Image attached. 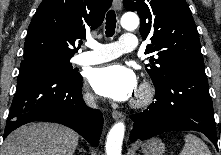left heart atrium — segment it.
<instances>
[{
  "label": "left heart atrium",
  "mask_w": 221,
  "mask_h": 155,
  "mask_svg": "<svg viewBox=\"0 0 221 155\" xmlns=\"http://www.w3.org/2000/svg\"><path fill=\"white\" fill-rule=\"evenodd\" d=\"M90 83L99 95L116 101L130 99L137 90L136 75L121 64H111L93 70Z\"/></svg>",
  "instance_id": "39dd6f15"
}]
</instances>
